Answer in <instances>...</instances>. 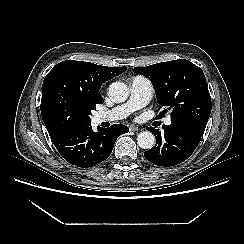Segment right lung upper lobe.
I'll list each match as a JSON object with an SVG mask.
<instances>
[{"mask_svg":"<svg viewBox=\"0 0 244 244\" xmlns=\"http://www.w3.org/2000/svg\"><path fill=\"white\" fill-rule=\"evenodd\" d=\"M126 69L127 67H107L75 60L62 61L44 79L41 105L47 91L52 86H59L75 99L96 107V104L103 102L98 93L101 85Z\"/></svg>","mask_w":244,"mask_h":244,"instance_id":"1","label":"right lung upper lobe"}]
</instances>
